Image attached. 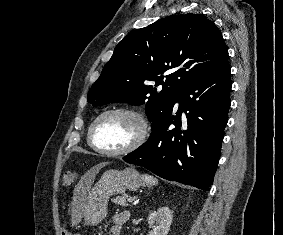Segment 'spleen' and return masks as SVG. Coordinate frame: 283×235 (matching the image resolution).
<instances>
[{
  "instance_id": "obj_1",
  "label": "spleen",
  "mask_w": 283,
  "mask_h": 235,
  "mask_svg": "<svg viewBox=\"0 0 283 235\" xmlns=\"http://www.w3.org/2000/svg\"><path fill=\"white\" fill-rule=\"evenodd\" d=\"M142 178L149 185H156V184H158V180L154 176H152V175L144 174L142 176Z\"/></svg>"
}]
</instances>
